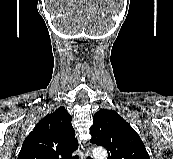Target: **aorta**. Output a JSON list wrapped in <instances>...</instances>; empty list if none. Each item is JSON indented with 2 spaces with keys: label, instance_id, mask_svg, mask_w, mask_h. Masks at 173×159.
Wrapping results in <instances>:
<instances>
[{
  "label": "aorta",
  "instance_id": "aorta-1",
  "mask_svg": "<svg viewBox=\"0 0 173 159\" xmlns=\"http://www.w3.org/2000/svg\"><path fill=\"white\" fill-rule=\"evenodd\" d=\"M94 159H107V151L102 147L93 150Z\"/></svg>",
  "mask_w": 173,
  "mask_h": 159
}]
</instances>
